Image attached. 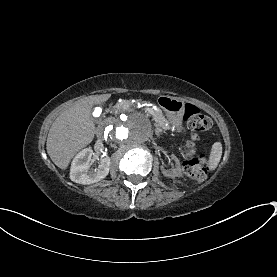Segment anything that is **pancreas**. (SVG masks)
<instances>
[{"mask_svg": "<svg viewBox=\"0 0 277 277\" xmlns=\"http://www.w3.org/2000/svg\"><path fill=\"white\" fill-rule=\"evenodd\" d=\"M142 112L154 119L153 124L156 127H164L167 124V117L161 116V110L154 104H151L147 99L142 98L136 101H124L117 99L112 101L111 105L107 107V114L109 116L120 115L123 112Z\"/></svg>", "mask_w": 277, "mask_h": 277, "instance_id": "1", "label": "pancreas"}]
</instances>
